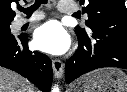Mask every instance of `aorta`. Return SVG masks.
Instances as JSON below:
<instances>
[{
	"label": "aorta",
	"mask_w": 127,
	"mask_h": 92,
	"mask_svg": "<svg viewBox=\"0 0 127 92\" xmlns=\"http://www.w3.org/2000/svg\"><path fill=\"white\" fill-rule=\"evenodd\" d=\"M52 92H60L58 86H54L53 89H52Z\"/></svg>",
	"instance_id": "1"
}]
</instances>
